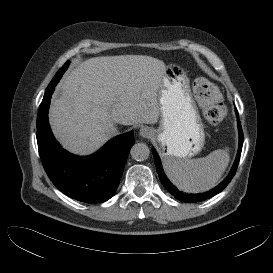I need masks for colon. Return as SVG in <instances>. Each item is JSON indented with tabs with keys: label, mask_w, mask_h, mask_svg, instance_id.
<instances>
[{
	"label": "colon",
	"mask_w": 273,
	"mask_h": 273,
	"mask_svg": "<svg viewBox=\"0 0 273 273\" xmlns=\"http://www.w3.org/2000/svg\"><path fill=\"white\" fill-rule=\"evenodd\" d=\"M194 94L203 109L205 120L212 126L220 125L226 111L217 86L206 79H198L194 83Z\"/></svg>",
	"instance_id": "1"
}]
</instances>
